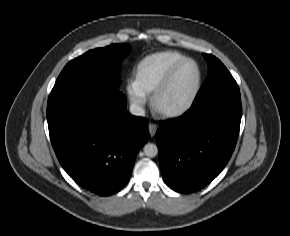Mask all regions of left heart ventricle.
I'll return each mask as SVG.
<instances>
[{
    "mask_svg": "<svg viewBox=\"0 0 290 236\" xmlns=\"http://www.w3.org/2000/svg\"><path fill=\"white\" fill-rule=\"evenodd\" d=\"M197 79V71L192 63H186L175 73L170 85L158 100L160 107L174 109L182 106L191 96Z\"/></svg>",
    "mask_w": 290,
    "mask_h": 236,
    "instance_id": "obj_1",
    "label": "left heart ventricle"
}]
</instances>
